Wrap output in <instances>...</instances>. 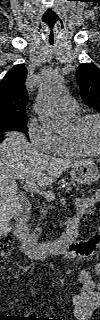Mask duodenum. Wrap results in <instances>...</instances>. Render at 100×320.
Masks as SVG:
<instances>
[{
    "mask_svg": "<svg viewBox=\"0 0 100 320\" xmlns=\"http://www.w3.org/2000/svg\"><path fill=\"white\" fill-rule=\"evenodd\" d=\"M27 223L28 215L23 214L18 217L14 232L16 239L20 242L22 251L29 258L47 259L71 247L78 234L79 215H74L69 219L65 234L55 241L36 240L30 235Z\"/></svg>",
    "mask_w": 100,
    "mask_h": 320,
    "instance_id": "410a0bca",
    "label": "duodenum"
}]
</instances>
